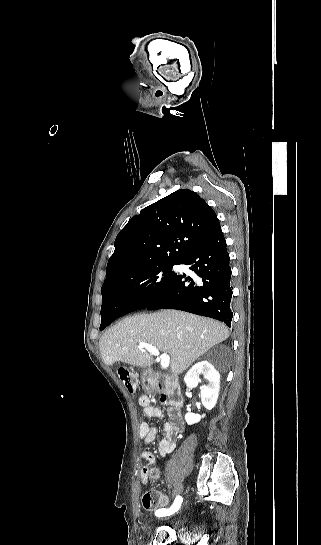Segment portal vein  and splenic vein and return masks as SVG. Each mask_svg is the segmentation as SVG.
<instances>
[{
	"instance_id": "1",
	"label": "portal vein and splenic vein",
	"mask_w": 321,
	"mask_h": 545,
	"mask_svg": "<svg viewBox=\"0 0 321 545\" xmlns=\"http://www.w3.org/2000/svg\"><path fill=\"white\" fill-rule=\"evenodd\" d=\"M138 347H140V349H146V351H149L150 355H154V357H159L160 355V351H158L156 347H153V345H148V343H138ZM160 359L161 369H167L170 363L169 355H161Z\"/></svg>"
}]
</instances>
